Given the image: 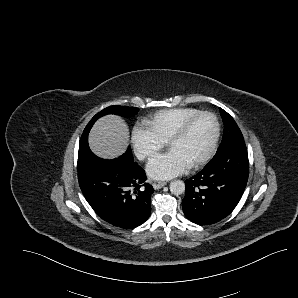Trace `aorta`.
Segmentation results:
<instances>
[{"label":"aorta","instance_id":"762f6f07","mask_svg":"<svg viewBox=\"0 0 298 298\" xmlns=\"http://www.w3.org/2000/svg\"><path fill=\"white\" fill-rule=\"evenodd\" d=\"M185 182L179 179H174L169 184V190L175 195H180L185 192Z\"/></svg>","mask_w":298,"mask_h":298}]
</instances>
